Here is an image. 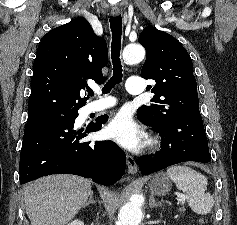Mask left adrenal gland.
Listing matches in <instances>:
<instances>
[{"instance_id": "left-adrenal-gland-1", "label": "left adrenal gland", "mask_w": 237, "mask_h": 225, "mask_svg": "<svg viewBox=\"0 0 237 225\" xmlns=\"http://www.w3.org/2000/svg\"><path fill=\"white\" fill-rule=\"evenodd\" d=\"M149 206H150L151 208H156V207H161L162 204H161V202L156 203V202H155V199H154V196L151 195V196H150V199H149Z\"/></svg>"}]
</instances>
